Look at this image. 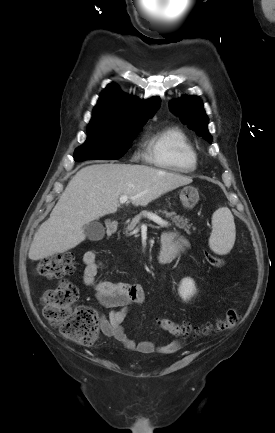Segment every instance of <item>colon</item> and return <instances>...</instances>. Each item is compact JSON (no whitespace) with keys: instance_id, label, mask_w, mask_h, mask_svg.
Returning <instances> with one entry per match:
<instances>
[{"instance_id":"1","label":"colon","mask_w":275,"mask_h":433,"mask_svg":"<svg viewBox=\"0 0 275 433\" xmlns=\"http://www.w3.org/2000/svg\"><path fill=\"white\" fill-rule=\"evenodd\" d=\"M206 261L221 267L224 262L217 256L205 252ZM75 270L74 258L70 255H60L40 260L36 266L38 276L48 279L63 278ZM78 298L77 288L69 281L62 279L54 288L46 290L41 301L43 314L51 324L59 327L61 333L74 342L82 345L93 344L99 333L96 311L89 306L75 307ZM240 314L236 308H229L214 324L194 326L179 323L169 318H160L159 327L176 337L191 335H206L210 332H223L233 328L239 321Z\"/></svg>"}]
</instances>
